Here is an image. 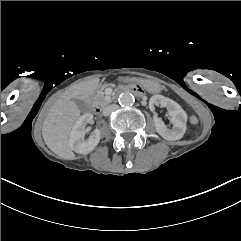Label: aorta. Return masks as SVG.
Listing matches in <instances>:
<instances>
[{
  "label": "aorta",
  "instance_id": "aorta-1",
  "mask_svg": "<svg viewBox=\"0 0 241 241\" xmlns=\"http://www.w3.org/2000/svg\"><path fill=\"white\" fill-rule=\"evenodd\" d=\"M118 101L121 106H131L133 105L135 99L131 93L125 92L119 96Z\"/></svg>",
  "mask_w": 241,
  "mask_h": 241
}]
</instances>
